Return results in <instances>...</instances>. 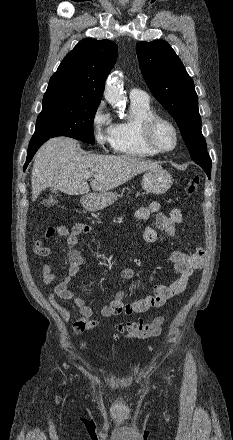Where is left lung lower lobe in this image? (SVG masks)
Wrapping results in <instances>:
<instances>
[{
	"instance_id": "0a47b994",
	"label": "left lung lower lobe",
	"mask_w": 233,
	"mask_h": 440,
	"mask_svg": "<svg viewBox=\"0 0 233 440\" xmlns=\"http://www.w3.org/2000/svg\"><path fill=\"white\" fill-rule=\"evenodd\" d=\"M196 163L204 169V171L206 172L208 178L210 179V176H211V159H209L207 161L196 162Z\"/></svg>"
}]
</instances>
